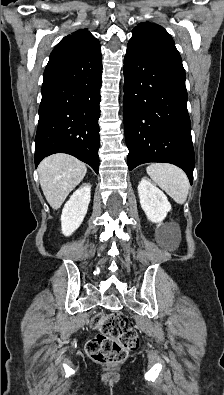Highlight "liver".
Returning <instances> with one entry per match:
<instances>
[{"label":"liver","instance_id":"obj_1","mask_svg":"<svg viewBox=\"0 0 224 395\" xmlns=\"http://www.w3.org/2000/svg\"><path fill=\"white\" fill-rule=\"evenodd\" d=\"M86 165L66 154L46 157L38 166L39 181L49 205L57 210L68 194L83 180Z\"/></svg>","mask_w":224,"mask_h":395}]
</instances>
